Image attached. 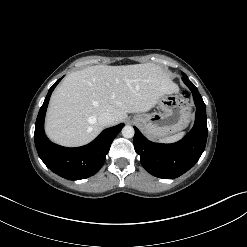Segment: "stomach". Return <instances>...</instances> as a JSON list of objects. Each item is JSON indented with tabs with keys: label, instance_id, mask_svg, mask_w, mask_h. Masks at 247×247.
I'll return each mask as SVG.
<instances>
[{
	"label": "stomach",
	"instance_id": "1",
	"mask_svg": "<svg viewBox=\"0 0 247 247\" xmlns=\"http://www.w3.org/2000/svg\"><path fill=\"white\" fill-rule=\"evenodd\" d=\"M158 111L134 116V122L154 139L166 138L185 129L192 117L190 105L178 94L167 93L159 97Z\"/></svg>",
	"mask_w": 247,
	"mask_h": 247
}]
</instances>
